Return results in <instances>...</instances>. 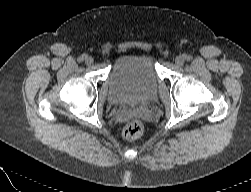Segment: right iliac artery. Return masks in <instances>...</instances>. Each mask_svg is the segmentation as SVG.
Segmentation results:
<instances>
[{"mask_svg": "<svg viewBox=\"0 0 251 192\" xmlns=\"http://www.w3.org/2000/svg\"><path fill=\"white\" fill-rule=\"evenodd\" d=\"M85 58H86V55L83 54L82 56H80V57L78 58V61H79V62H82V61H84Z\"/></svg>", "mask_w": 251, "mask_h": 192, "instance_id": "1", "label": "right iliac artery"}]
</instances>
